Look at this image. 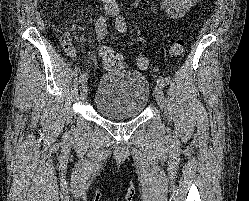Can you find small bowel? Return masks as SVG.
<instances>
[{
  "label": "small bowel",
  "mask_w": 249,
  "mask_h": 201,
  "mask_svg": "<svg viewBox=\"0 0 249 201\" xmlns=\"http://www.w3.org/2000/svg\"><path fill=\"white\" fill-rule=\"evenodd\" d=\"M201 0H162V9L166 12V14L174 20L183 19L189 10L196 6ZM97 33V32H96ZM98 35V33H97ZM60 44L64 48L66 54L72 58L75 53L73 48L70 45V34L69 32H64L60 39ZM85 57L91 61L95 62V58L92 54L86 53Z\"/></svg>",
  "instance_id": "small-bowel-1"
}]
</instances>
